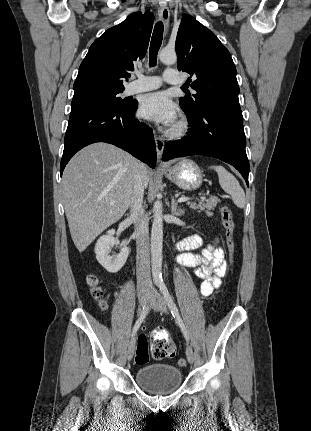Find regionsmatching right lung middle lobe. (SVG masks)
Wrapping results in <instances>:
<instances>
[{"instance_id": "1", "label": "right lung middle lobe", "mask_w": 311, "mask_h": 431, "mask_svg": "<svg viewBox=\"0 0 311 431\" xmlns=\"http://www.w3.org/2000/svg\"><path fill=\"white\" fill-rule=\"evenodd\" d=\"M123 91H88L74 94L72 99V109H77L84 106H106L121 110H130L137 101H128L126 98L119 97Z\"/></svg>"}]
</instances>
